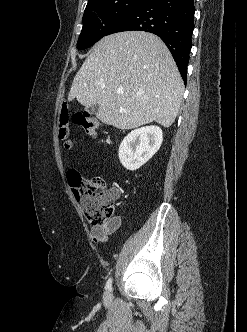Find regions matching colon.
Wrapping results in <instances>:
<instances>
[{
  "instance_id": "5ec220e1",
  "label": "colon",
  "mask_w": 247,
  "mask_h": 332,
  "mask_svg": "<svg viewBox=\"0 0 247 332\" xmlns=\"http://www.w3.org/2000/svg\"><path fill=\"white\" fill-rule=\"evenodd\" d=\"M71 121L82 127L89 136L97 135L98 120L88 113L71 115L69 104L64 102L59 116V138L64 141L66 148L71 146L69 139ZM68 179L85 216L93 225H103L112 219L116 197L103 177L82 178L78 172L72 171Z\"/></svg>"
}]
</instances>
